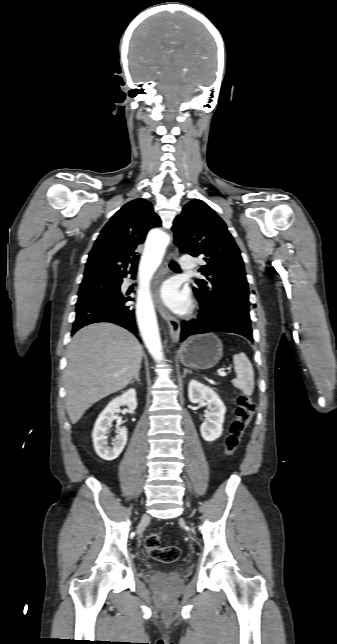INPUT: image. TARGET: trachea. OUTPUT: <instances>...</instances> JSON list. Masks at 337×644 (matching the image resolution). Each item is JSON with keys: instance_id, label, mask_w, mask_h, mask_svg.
<instances>
[{"instance_id": "trachea-1", "label": "trachea", "mask_w": 337, "mask_h": 644, "mask_svg": "<svg viewBox=\"0 0 337 644\" xmlns=\"http://www.w3.org/2000/svg\"><path fill=\"white\" fill-rule=\"evenodd\" d=\"M169 266H170V268H171V269H173V270L180 271V267H179V265L177 264V262H175V261H171V262H170V264H169Z\"/></svg>"}]
</instances>
